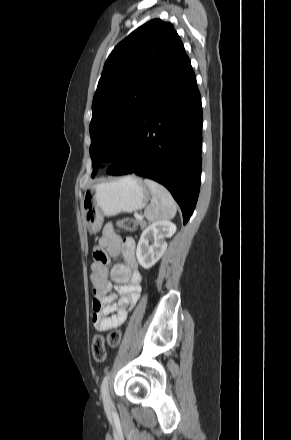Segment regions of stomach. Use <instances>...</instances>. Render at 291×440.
Returning a JSON list of instances; mask_svg holds the SVG:
<instances>
[{
  "mask_svg": "<svg viewBox=\"0 0 291 440\" xmlns=\"http://www.w3.org/2000/svg\"><path fill=\"white\" fill-rule=\"evenodd\" d=\"M151 192L143 180L128 175L88 187L82 198V212L88 231L94 233L104 216L131 213L143 209Z\"/></svg>",
  "mask_w": 291,
  "mask_h": 440,
  "instance_id": "stomach-1",
  "label": "stomach"
}]
</instances>
